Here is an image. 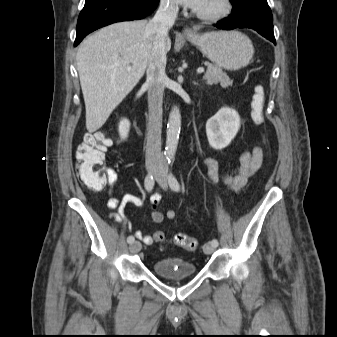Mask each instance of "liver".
<instances>
[{
	"label": "liver",
	"instance_id": "liver-1",
	"mask_svg": "<svg viewBox=\"0 0 337 337\" xmlns=\"http://www.w3.org/2000/svg\"><path fill=\"white\" fill-rule=\"evenodd\" d=\"M147 25V20L115 23L81 43L76 60L88 132L100 129L143 77L155 39ZM170 48L167 38L166 52Z\"/></svg>",
	"mask_w": 337,
	"mask_h": 337
}]
</instances>
